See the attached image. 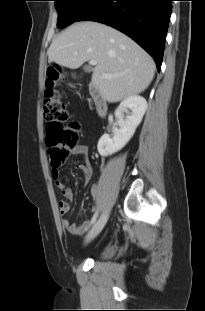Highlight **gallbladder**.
I'll use <instances>...</instances> for the list:
<instances>
[{
    "instance_id": "bac80fb5",
    "label": "gallbladder",
    "mask_w": 205,
    "mask_h": 311,
    "mask_svg": "<svg viewBox=\"0 0 205 311\" xmlns=\"http://www.w3.org/2000/svg\"><path fill=\"white\" fill-rule=\"evenodd\" d=\"M84 71H86V72H90V71H91V68H90V67H88V66H85V67H84Z\"/></svg>"
}]
</instances>
